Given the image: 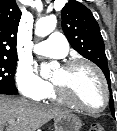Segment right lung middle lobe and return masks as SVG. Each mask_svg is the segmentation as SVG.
I'll return each mask as SVG.
<instances>
[{"instance_id":"dd1d6c3e","label":"right lung middle lobe","mask_w":117,"mask_h":131,"mask_svg":"<svg viewBox=\"0 0 117 131\" xmlns=\"http://www.w3.org/2000/svg\"><path fill=\"white\" fill-rule=\"evenodd\" d=\"M17 55L0 53V92L4 94H17L14 83Z\"/></svg>"}]
</instances>
